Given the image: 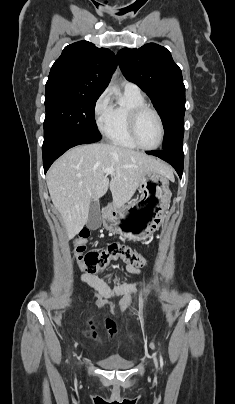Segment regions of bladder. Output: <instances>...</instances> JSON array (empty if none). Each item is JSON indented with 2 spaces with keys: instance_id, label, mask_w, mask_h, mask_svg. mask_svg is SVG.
<instances>
[{
  "instance_id": "bladder-1",
  "label": "bladder",
  "mask_w": 235,
  "mask_h": 404,
  "mask_svg": "<svg viewBox=\"0 0 235 404\" xmlns=\"http://www.w3.org/2000/svg\"><path fill=\"white\" fill-rule=\"evenodd\" d=\"M100 364L104 367L117 368V369H126L132 365L131 363L122 362L115 359L102 360L100 361Z\"/></svg>"
}]
</instances>
